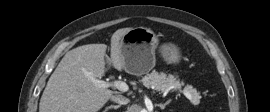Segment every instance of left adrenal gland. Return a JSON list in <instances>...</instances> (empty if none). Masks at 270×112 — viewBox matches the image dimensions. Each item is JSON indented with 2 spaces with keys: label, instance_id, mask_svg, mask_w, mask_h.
Returning a JSON list of instances; mask_svg holds the SVG:
<instances>
[{
  "label": "left adrenal gland",
  "instance_id": "a2214340",
  "mask_svg": "<svg viewBox=\"0 0 270 112\" xmlns=\"http://www.w3.org/2000/svg\"><path fill=\"white\" fill-rule=\"evenodd\" d=\"M171 102V100H168L167 102H165L164 104H159L161 109H165V107Z\"/></svg>",
  "mask_w": 270,
  "mask_h": 112
}]
</instances>
